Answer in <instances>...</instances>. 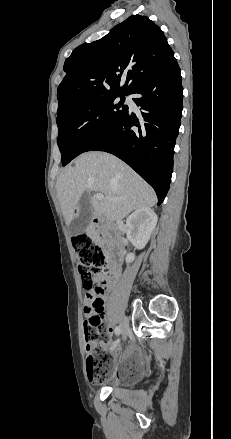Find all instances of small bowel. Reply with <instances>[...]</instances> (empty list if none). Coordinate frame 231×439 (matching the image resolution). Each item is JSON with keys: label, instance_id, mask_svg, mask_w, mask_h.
Masks as SVG:
<instances>
[{"label": "small bowel", "instance_id": "1", "mask_svg": "<svg viewBox=\"0 0 231 439\" xmlns=\"http://www.w3.org/2000/svg\"><path fill=\"white\" fill-rule=\"evenodd\" d=\"M112 271L114 274H117L119 271V268L117 269L116 267L112 268ZM100 301L102 303V309L100 311H97L94 307H93V302L94 301ZM104 306H105V293H97L95 291H91V292H87L86 297H85V309H84V314H85V321H84V329L85 327L88 326V324L90 323V321L92 320H96V323L100 326H102V322H103V318L105 316L104 313ZM112 349L114 348V345L111 346ZM105 348V347H103ZM126 357H124L121 360V364L123 363V361L125 360Z\"/></svg>", "mask_w": 231, "mask_h": 439}]
</instances>
